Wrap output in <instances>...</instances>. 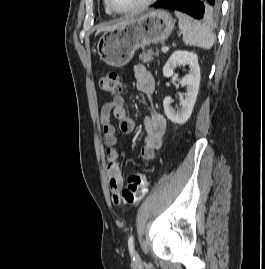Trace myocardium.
<instances>
[{
  "label": "myocardium",
  "mask_w": 265,
  "mask_h": 269,
  "mask_svg": "<svg viewBox=\"0 0 265 269\" xmlns=\"http://www.w3.org/2000/svg\"><path fill=\"white\" fill-rule=\"evenodd\" d=\"M105 1H106V4H107L108 8L113 13H116V14H133V13H137V12H140V11L146 9L147 7H149L151 4H153L157 0H145L142 3H140L139 5H137L136 7L131 8V9H125V10L116 9L113 6L111 0H105Z\"/></svg>",
  "instance_id": "myocardium-1"
}]
</instances>
